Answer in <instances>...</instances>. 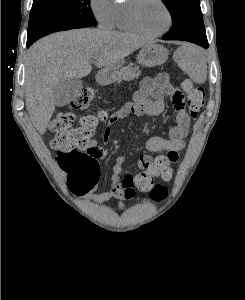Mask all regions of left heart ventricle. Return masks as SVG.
<instances>
[{"instance_id":"1","label":"left heart ventricle","mask_w":245,"mask_h":300,"mask_svg":"<svg viewBox=\"0 0 245 300\" xmlns=\"http://www.w3.org/2000/svg\"><path fill=\"white\" fill-rule=\"evenodd\" d=\"M139 16L143 26L152 32L164 29L168 23L164 8L156 0H144Z\"/></svg>"}]
</instances>
